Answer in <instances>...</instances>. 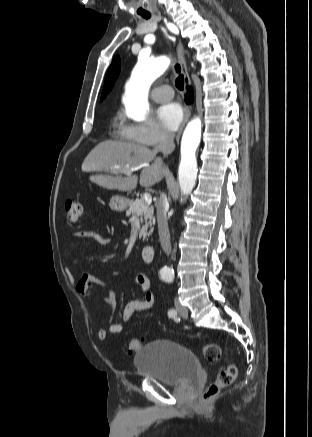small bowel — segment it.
<instances>
[{"instance_id": "small-bowel-1", "label": "small bowel", "mask_w": 312, "mask_h": 437, "mask_svg": "<svg viewBox=\"0 0 312 437\" xmlns=\"http://www.w3.org/2000/svg\"><path fill=\"white\" fill-rule=\"evenodd\" d=\"M85 237L100 238L103 242H108V239L102 237L97 230L78 231L73 233L70 236V239ZM135 283L143 292L144 297L142 299L131 300L125 305L122 315L125 322L131 321L135 312L147 311L151 309L156 301L155 294L152 290L151 281L145 274H137L135 277ZM95 284L100 286L106 285L104 281L97 278L93 274L86 273L77 283L76 290L82 298L89 300L92 296V287ZM104 303L111 311V316L107 328H100L98 330V338L101 341H104L108 334H119L122 331V324L115 321L113 317L117 308V300L115 295L113 293H108L104 298Z\"/></svg>"}]
</instances>
